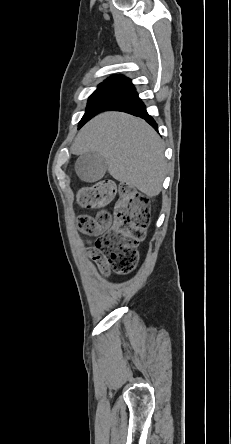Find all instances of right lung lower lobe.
<instances>
[{"label": "right lung lower lobe", "instance_id": "1", "mask_svg": "<svg viewBox=\"0 0 231 444\" xmlns=\"http://www.w3.org/2000/svg\"><path fill=\"white\" fill-rule=\"evenodd\" d=\"M107 110L123 111L134 116H139L146 120L152 127L157 129V124L154 119L148 115L144 103L138 97L136 91L129 93L116 104L108 108Z\"/></svg>", "mask_w": 231, "mask_h": 444}]
</instances>
